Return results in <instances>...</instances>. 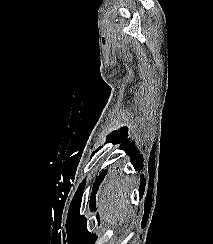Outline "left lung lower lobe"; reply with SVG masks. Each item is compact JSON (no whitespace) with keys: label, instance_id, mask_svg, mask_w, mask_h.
I'll use <instances>...</instances> for the list:
<instances>
[{"label":"left lung lower lobe","instance_id":"0a47b994","mask_svg":"<svg viewBox=\"0 0 213 244\" xmlns=\"http://www.w3.org/2000/svg\"><path fill=\"white\" fill-rule=\"evenodd\" d=\"M104 175H105V173L102 172V174H100V176L98 177V180H97V182H96V186H95V190H94L93 194H95V193L97 192V189H98L100 183L102 182V180H103V178H104ZM92 197H93V196H92ZM91 200H92V199H91ZM92 203H93V204L95 203V196H94V199H93V202H92Z\"/></svg>","mask_w":213,"mask_h":244}]
</instances>
